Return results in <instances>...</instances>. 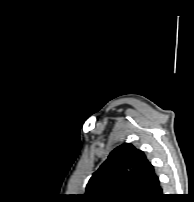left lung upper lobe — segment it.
Masks as SVG:
<instances>
[{
    "mask_svg": "<svg viewBox=\"0 0 194 202\" xmlns=\"http://www.w3.org/2000/svg\"><path fill=\"white\" fill-rule=\"evenodd\" d=\"M159 179L144 153L131 144L114 149L86 186L88 202H152Z\"/></svg>",
    "mask_w": 194,
    "mask_h": 202,
    "instance_id": "obj_1",
    "label": "left lung upper lobe"
}]
</instances>
